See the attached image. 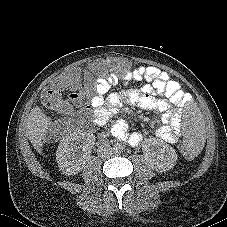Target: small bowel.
<instances>
[{
  "mask_svg": "<svg viewBox=\"0 0 227 227\" xmlns=\"http://www.w3.org/2000/svg\"><path fill=\"white\" fill-rule=\"evenodd\" d=\"M84 76L88 77L89 73L85 71ZM134 81H145L146 84L138 90L126 91L125 100L139 108L160 113L161 124L154 134L165 142L175 143L181 136V118L177 108L186 103L188 98L180 83L157 67L139 66L131 72L99 76L92 86L81 82L72 88L74 92L69 98L76 106L83 108L81 113L91 111L95 125L104 126L121 103L119 95H108L110 89L120 83L128 84ZM111 134L131 146L141 144L144 138L140 132L131 131L123 120L112 125Z\"/></svg>",
  "mask_w": 227,
  "mask_h": 227,
  "instance_id": "obj_1",
  "label": "small bowel"
}]
</instances>
